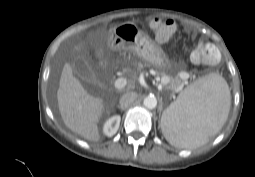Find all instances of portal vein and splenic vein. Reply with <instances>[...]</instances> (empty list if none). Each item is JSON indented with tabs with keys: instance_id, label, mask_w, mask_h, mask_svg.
Segmentation results:
<instances>
[{
	"instance_id": "1",
	"label": "portal vein and splenic vein",
	"mask_w": 255,
	"mask_h": 177,
	"mask_svg": "<svg viewBox=\"0 0 255 177\" xmlns=\"http://www.w3.org/2000/svg\"><path fill=\"white\" fill-rule=\"evenodd\" d=\"M162 85L165 83V81H161ZM127 84V80L125 78H118L115 83L114 86L116 89H123ZM181 88H179L180 90Z\"/></svg>"
}]
</instances>
